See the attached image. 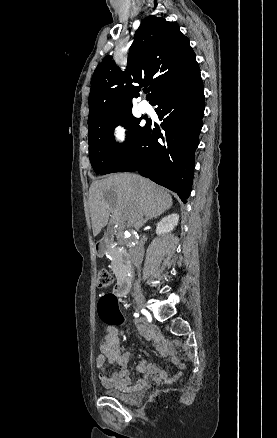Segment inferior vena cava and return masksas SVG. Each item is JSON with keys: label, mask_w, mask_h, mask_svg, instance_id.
I'll list each match as a JSON object with an SVG mask.
<instances>
[{"label": "inferior vena cava", "mask_w": 277, "mask_h": 438, "mask_svg": "<svg viewBox=\"0 0 277 438\" xmlns=\"http://www.w3.org/2000/svg\"><path fill=\"white\" fill-rule=\"evenodd\" d=\"M133 264L135 266V268H140V264H141V260H133ZM134 290H140V286L138 284V282H136V284H134Z\"/></svg>", "instance_id": "inferior-vena-cava-1"}]
</instances>
